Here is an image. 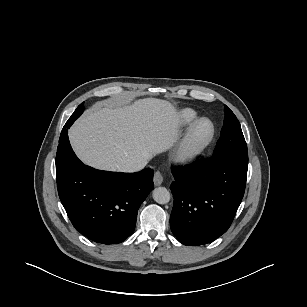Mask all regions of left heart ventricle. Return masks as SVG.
I'll use <instances>...</instances> for the list:
<instances>
[{
  "instance_id": "obj_1",
  "label": "left heart ventricle",
  "mask_w": 307,
  "mask_h": 307,
  "mask_svg": "<svg viewBox=\"0 0 307 307\" xmlns=\"http://www.w3.org/2000/svg\"><path fill=\"white\" fill-rule=\"evenodd\" d=\"M210 131V126L207 123H203L196 132V140L202 141L205 139Z\"/></svg>"
}]
</instances>
